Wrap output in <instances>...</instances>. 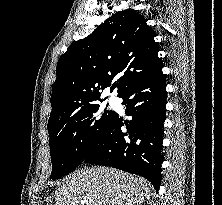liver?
Instances as JSON below:
<instances>
[{
  "instance_id": "obj_1",
  "label": "liver",
  "mask_w": 222,
  "mask_h": 205,
  "mask_svg": "<svg viewBox=\"0 0 222 205\" xmlns=\"http://www.w3.org/2000/svg\"><path fill=\"white\" fill-rule=\"evenodd\" d=\"M153 186L141 177L120 170L96 167L66 178L55 191L56 205H141Z\"/></svg>"
}]
</instances>
